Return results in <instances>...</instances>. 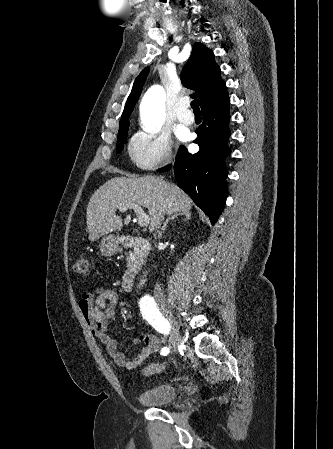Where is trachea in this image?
Masks as SVG:
<instances>
[{"label":"trachea","instance_id":"1","mask_svg":"<svg viewBox=\"0 0 333 449\" xmlns=\"http://www.w3.org/2000/svg\"><path fill=\"white\" fill-rule=\"evenodd\" d=\"M191 107H192V109H193V111H194L195 113H199V112H200V109H199V103H198V100H197V99H195V100H193V101L191 102Z\"/></svg>","mask_w":333,"mask_h":449}]
</instances>
